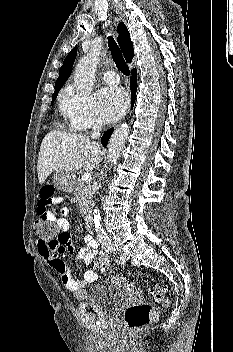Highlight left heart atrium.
<instances>
[{"mask_svg":"<svg viewBox=\"0 0 233 352\" xmlns=\"http://www.w3.org/2000/svg\"><path fill=\"white\" fill-rule=\"evenodd\" d=\"M127 104V95L121 88H104L97 96L99 111L108 122L119 119L124 114Z\"/></svg>","mask_w":233,"mask_h":352,"instance_id":"1","label":"left heart atrium"}]
</instances>
